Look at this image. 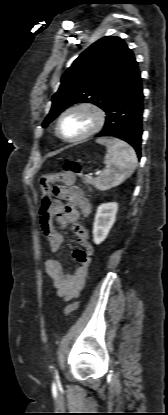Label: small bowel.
<instances>
[{"label":"small bowel","instance_id":"1","mask_svg":"<svg viewBox=\"0 0 168 415\" xmlns=\"http://www.w3.org/2000/svg\"><path fill=\"white\" fill-rule=\"evenodd\" d=\"M53 197L59 198L52 202L55 224L72 225L73 233L80 246L73 251V256L79 263L75 273L65 272L61 261L55 258L47 260L45 264L46 272L52 279L57 295L69 301L78 297L92 263L94 247L90 242L89 231L77 223L80 215H90L92 204L77 186H57L53 188ZM41 227L49 241L50 250L53 253L58 252L63 243V236L55 229L52 221L46 225L41 220Z\"/></svg>","mask_w":168,"mask_h":415}]
</instances>
